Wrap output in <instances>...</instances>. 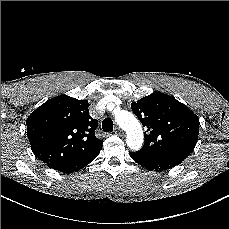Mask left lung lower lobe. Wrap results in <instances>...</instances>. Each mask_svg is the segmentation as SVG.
I'll return each instance as SVG.
<instances>
[{
  "mask_svg": "<svg viewBox=\"0 0 229 229\" xmlns=\"http://www.w3.org/2000/svg\"><path fill=\"white\" fill-rule=\"evenodd\" d=\"M131 158L140 164L142 167L146 168L149 171H163L171 169L179 164L182 161L172 160V159H151L143 156H139L134 152H130Z\"/></svg>",
  "mask_w": 229,
  "mask_h": 229,
  "instance_id": "0a47b994",
  "label": "left lung lower lobe"
}]
</instances>
